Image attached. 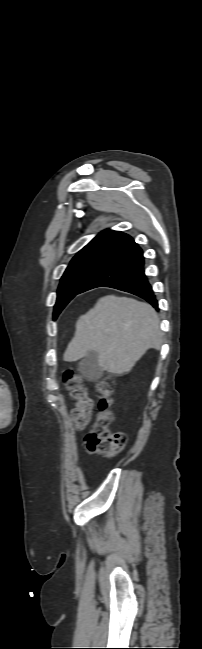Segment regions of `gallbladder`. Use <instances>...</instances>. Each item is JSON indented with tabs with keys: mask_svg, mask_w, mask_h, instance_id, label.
<instances>
[{
	"mask_svg": "<svg viewBox=\"0 0 202 649\" xmlns=\"http://www.w3.org/2000/svg\"><path fill=\"white\" fill-rule=\"evenodd\" d=\"M98 358L97 352L89 351L79 362L80 372L90 381L98 380L102 376V369L99 366Z\"/></svg>",
	"mask_w": 202,
	"mask_h": 649,
	"instance_id": "bac80fb5",
	"label": "gallbladder"
}]
</instances>
